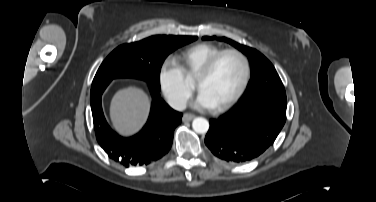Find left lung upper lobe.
Segmentation results:
<instances>
[{
  "mask_svg": "<svg viewBox=\"0 0 376 202\" xmlns=\"http://www.w3.org/2000/svg\"><path fill=\"white\" fill-rule=\"evenodd\" d=\"M215 36H205L203 40L215 39ZM225 41L236 47L248 56L251 63V79L248 89L241 103L256 100L260 97H268L287 104L286 93L282 81L271 62L257 50L241 45L231 39L222 37Z\"/></svg>",
  "mask_w": 376,
  "mask_h": 202,
  "instance_id": "left-lung-upper-lobe-1",
  "label": "left lung upper lobe"
}]
</instances>
